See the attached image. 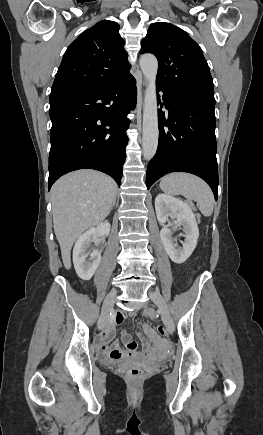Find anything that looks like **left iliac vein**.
Masks as SVG:
<instances>
[{"instance_id":"left-iliac-vein-1","label":"left iliac vein","mask_w":263,"mask_h":435,"mask_svg":"<svg viewBox=\"0 0 263 435\" xmlns=\"http://www.w3.org/2000/svg\"><path fill=\"white\" fill-rule=\"evenodd\" d=\"M149 297L158 307V311L161 314L162 320L168 330L169 333L174 332V322L169 313L167 304L159 292L153 291L149 292Z\"/></svg>"}]
</instances>
